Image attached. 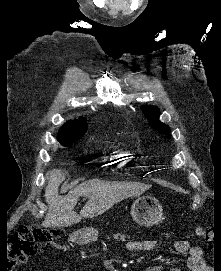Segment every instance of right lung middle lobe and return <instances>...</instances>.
Returning <instances> with one entry per match:
<instances>
[{"instance_id": "obj_1", "label": "right lung middle lobe", "mask_w": 221, "mask_h": 271, "mask_svg": "<svg viewBox=\"0 0 221 271\" xmlns=\"http://www.w3.org/2000/svg\"><path fill=\"white\" fill-rule=\"evenodd\" d=\"M63 146L69 147L71 146V143L74 142L75 140H58Z\"/></svg>"}]
</instances>
